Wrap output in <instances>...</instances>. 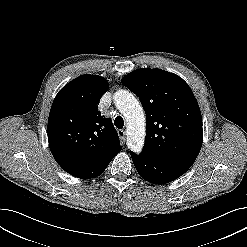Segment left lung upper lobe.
<instances>
[{
	"instance_id": "left-lung-upper-lobe-1",
	"label": "left lung upper lobe",
	"mask_w": 247,
	"mask_h": 247,
	"mask_svg": "<svg viewBox=\"0 0 247 247\" xmlns=\"http://www.w3.org/2000/svg\"><path fill=\"white\" fill-rule=\"evenodd\" d=\"M122 83L139 97L146 113L143 153L193 164L203 131L201 112L188 84L173 73L146 68L125 75Z\"/></svg>"
}]
</instances>
